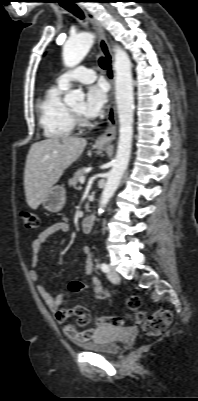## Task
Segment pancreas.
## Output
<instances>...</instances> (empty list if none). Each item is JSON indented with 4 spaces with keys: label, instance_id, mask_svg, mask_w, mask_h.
<instances>
[{
    "label": "pancreas",
    "instance_id": "obj_1",
    "mask_svg": "<svg viewBox=\"0 0 198 401\" xmlns=\"http://www.w3.org/2000/svg\"><path fill=\"white\" fill-rule=\"evenodd\" d=\"M84 175H85V169L84 168L79 169L78 171L75 172L73 177L69 179L68 185L70 187H74L75 188L77 183L79 182V179L81 177H83Z\"/></svg>",
    "mask_w": 198,
    "mask_h": 401
}]
</instances>
